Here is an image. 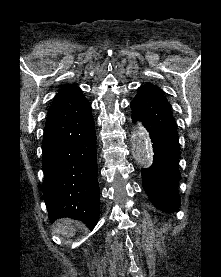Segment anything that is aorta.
Segmentation results:
<instances>
[{
	"label": "aorta",
	"instance_id": "aorta-1",
	"mask_svg": "<svg viewBox=\"0 0 221 277\" xmlns=\"http://www.w3.org/2000/svg\"><path fill=\"white\" fill-rule=\"evenodd\" d=\"M131 140L135 158L142 165H149L152 162L153 151L147 132L138 126L135 128Z\"/></svg>",
	"mask_w": 221,
	"mask_h": 277
}]
</instances>
